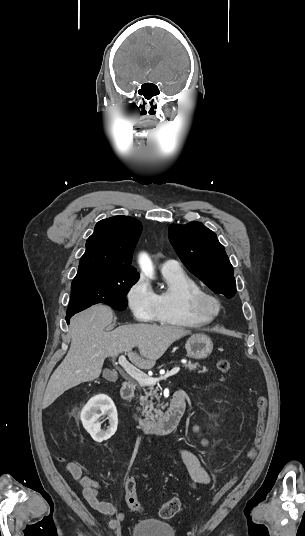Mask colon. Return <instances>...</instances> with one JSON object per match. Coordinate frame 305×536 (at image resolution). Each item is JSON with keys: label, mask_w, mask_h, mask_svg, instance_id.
Listing matches in <instances>:
<instances>
[{"label": "colon", "mask_w": 305, "mask_h": 536, "mask_svg": "<svg viewBox=\"0 0 305 536\" xmlns=\"http://www.w3.org/2000/svg\"><path fill=\"white\" fill-rule=\"evenodd\" d=\"M217 368L220 372L227 374L231 370V363L230 360L227 358L220 359L217 362ZM267 405L268 401L267 398L263 395L259 396L256 400V407H257V421H256V427H255V434H254V440H253V450L250 452V456L253 455L255 448L261 443L264 429H265V418H266V411H267ZM127 482L124 484V499L126 504L129 506L131 510L134 512H141L143 510V507L141 505V502L139 500L136 484L134 477L132 475H129L127 477ZM237 480V476L232 478L230 481H228L216 494L213 503H218L221 498L227 493V491L234 485V483ZM180 508V502L179 500L174 497L168 501H166L164 504L161 505L159 508V516L160 518L164 520H168L172 518L179 510Z\"/></svg>", "instance_id": "1"}]
</instances>
